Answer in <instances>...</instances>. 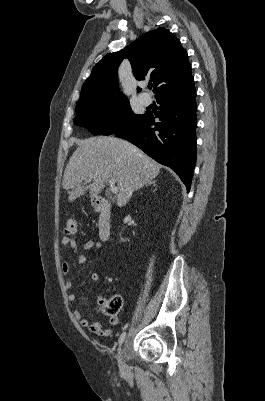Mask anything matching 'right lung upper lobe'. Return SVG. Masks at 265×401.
<instances>
[{
  "mask_svg": "<svg viewBox=\"0 0 265 401\" xmlns=\"http://www.w3.org/2000/svg\"><path fill=\"white\" fill-rule=\"evenodd\" d=\"M124 58L129 59L137 80L150 78L155 87V97L182 90L193 82L187 52L180 40L169 30L157 28L141 35L124 50L105 55L83 84L77 105L98 96L116 93L117 68ZM118 94L123 97L122 93Z\"/></svg>",
  "mask_w": 265,
  "mask_h": 401,
  "instance_id": "1",
  "label": "right lung upper lobe"
}]
</instances>
